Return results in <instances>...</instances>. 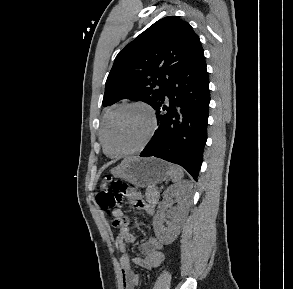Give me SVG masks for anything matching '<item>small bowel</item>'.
<instances>
[{
	"label": "small bowel",
	"instance_id": "small-bowel-1",
	"mask_svg": "<svg viewBox=\"0 0 293 289\" xmlns=\"http://www.w3.org/2000/svg\"><path fill=\"white\" fill-rule=\"evenodd\" d=\"M129 196L147 215H154L155 208L153 205L143 203L137 193H131ZM112 216L114 220L123 221L115 239L116 247L122 252L121 275L123 286L124 289H135L139 283V277L133 271L132 264L146 269L159 267L165 260V254L162 251L163 243L156 236H151L148 241L139 243L138 247L141 255L131 259L126 252V245L136 241L133 229L129 223L125 222L122 210H114Z\"/></svg>",
	"mask_w": 293,
	"mask_h": 289
}]
</instances>
